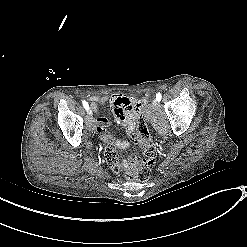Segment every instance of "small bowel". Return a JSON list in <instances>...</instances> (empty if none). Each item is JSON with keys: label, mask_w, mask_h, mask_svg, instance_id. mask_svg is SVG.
<instances>
[{"label": "small bowel", "mask_w": 247, "mask_h": 247, "mask_svg": "<svg viewBox=\"0 0 247 247\" xmlns=\"http://www.w3.org/2000/svg\"><path fill=\"white\" fill-rule=\"evenodd\" d=\"M107 100L110 101L113 108L114 116L116 120L122 125L125 132L127 134L132 133L135 128L134 119L123 115L121 108L123 107L125 112L131 113L132 116L137 117L140 115L141 107L145 105L146 101L143 100L136 101L133 98H125L119 95H112L109 98L105 96H96V97H91L89 99L93 107H95L97 104H103ZM94 122L99 126L94 129V134L97 137L103 138L106 141L110 142V144H112L106 147V152H107L106 158L107 161L109 162L110 170L112 172H117L121 169V162L117 158V154L114 146L120 145L121 148H127L129 146V143L128 142L120 143L119 136L113 130L106 129V126L108 125V120L105 117L97 115L94 118Z\"/></svg>", "instance_id": "c3829d8e"}]
</instances>
